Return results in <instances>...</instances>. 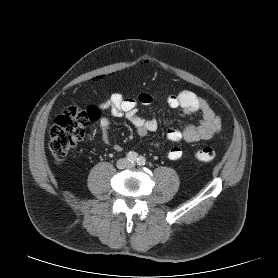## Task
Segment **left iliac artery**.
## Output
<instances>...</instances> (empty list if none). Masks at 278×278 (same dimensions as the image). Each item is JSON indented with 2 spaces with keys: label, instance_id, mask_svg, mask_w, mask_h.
Returning <instances> with one entry per match:
<instances>
[{
  "label": "left iliac artery",
  "instance_id": "left-iliac-artery-1",
  "mask_svg": "<svg viewBox=\"0 0 278 278\" xmlns=\"http://www.w3.org/2000/svg\"><path fill=\"white\" fill-rule=\"evenodd\" d=\"M145 163H146V159L143 156L138 157V159H137L138 165L142 166V165H145Z\"/></svg>",
  "mask_w": 278,
  "mask_h": 278
}]
</instances>
